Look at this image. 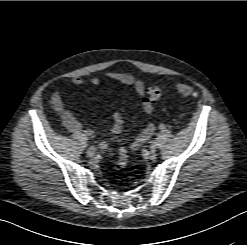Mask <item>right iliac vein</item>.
I'll list each match as a JSON object with an SVG mask.
<instances>
[{
  "mask_svg": "<svg viewBox=\"0 0 247 245\" xmlns=\"http://www.w3.org/2000/svg\"><path fill=\"white\" fill-rule=\"evenodd\" d=\"M88 156H94L95 155V151L91 150L90 148L87 151Z\"/></svg>",
  "mask_w": 247,
  "mask_h": 245,
  "instance_id": "right-iliac-vein-1",
  "label": "right iliac vein"
}]
</instances>
